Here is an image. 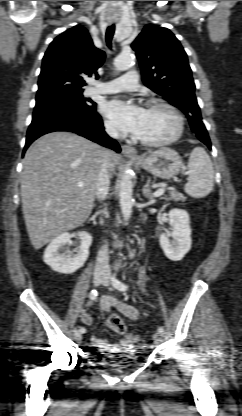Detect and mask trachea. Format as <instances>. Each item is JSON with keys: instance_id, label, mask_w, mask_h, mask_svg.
I'll return each mask as SVG.
<instances>
[{"instance_id": "1", "label": "trachea", "mask_w": 242, "mask_h": 416, "mask_svg": "<svg viewBox=\"0 0 242 416\" xmlns=\"http://www.w3.org/2000/svg\"><path fill=\"white\" fill-rule=\"evenodd\" d=\"M114 32H115V25L112 24V25L108 26V28L106 30L105 38H106L107 46L109 48H111V46H112V39H113Z\"/></svg>"}]
</instances>
